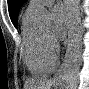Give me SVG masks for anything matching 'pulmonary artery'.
Returning a JSON list of instances; mask_svg holds the SVG:
<instances>
[{
	"label": "pulmonary artery",
	"mask_w": 89,
	"mask_h": 89,
	"mask_svg": "<svg viewBox=\"0 0 89 89\" xmlns=\"http://www.w3.org/2000/svg\"><path fill=\"white\" fill-rule=\"evenodd\" d=\"M51 0L37 1L33 0L30 2V5L27 9L28 12L35 13L38 9H40L43 5L50 4Z\"/></svg>",
	"instance_id": "pulmonary-artery-1"
}]
</instances>
